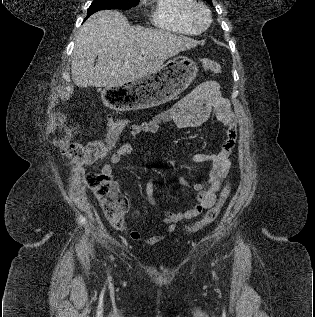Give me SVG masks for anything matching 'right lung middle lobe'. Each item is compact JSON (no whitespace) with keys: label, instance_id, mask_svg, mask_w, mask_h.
I'll return each instance as SVG.
<instances>
[{"label":"right lung middle lobe","instance_id":"1","mask_svg":"<svg viewBox=\"0 0 315 317\" xmlns=\"http://www.w3.org/2000/svg\"><path fill=\"white\" fill-rule=\"evenodd\" d=\"M138 3L139 0H94L88 8V16L103 9H130Z\"/></svg>","mask_w":315,"mask_h":317}]
</instances>
